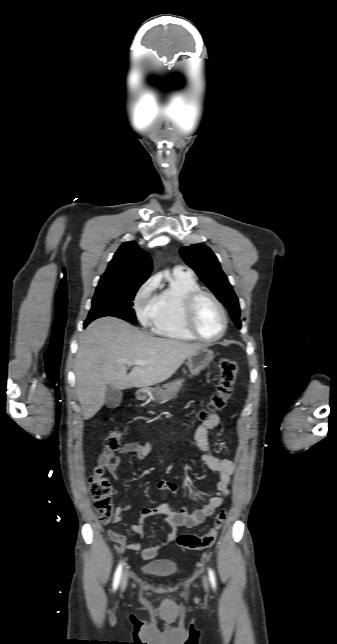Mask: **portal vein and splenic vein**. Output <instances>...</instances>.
Wrapping results in <instances>:
<instances>
[{
	"mask_svg": "<svg viewBox=\"0 0 337 644\" xmlns=\"http://www.w3.org/2000/svg\"><path fill=\"white\" fill-rule=\"evenodd\" d=\"M124 362L127 363L128 365H145V364H147L146 360H137V359L133 360V361H124Z\"/></svg>",
	"mask_w": 337,
	"mask_h": 644,
	"instance_id": "1",
	"label": "portal vein and splenic vein"
}]
</instances>
